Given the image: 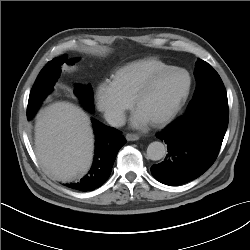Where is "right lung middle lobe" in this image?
<instances>
[{
    "label": "right lung middle lobe",
    "mask_w": 250,
    "mask_h": 250,
    "mask_svg": "<svg viewBox=\"0 0 250 250\" xmlns=\"http://www.w3.org/2000/svg\"><path fill=\"white\" fill-rule=\"evenodd\" d=\"M77 59L55 58L41 70L39 73L32 90L30 92L28 107H27V118H32L38 108L40 107L44 98L53 90L55 83L60 77V67L64 63L73 65ZM75 94L80 99L85 109L93 112L94 111V98L93 91L90 85L83 86L77 85L74 90Z\"/></svg>",
    "instance_id": "right-lung-middle-lobe-1"
}]
</instances>
